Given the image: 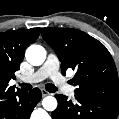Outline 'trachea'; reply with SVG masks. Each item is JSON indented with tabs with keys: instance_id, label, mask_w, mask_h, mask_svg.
<instances>
[{
	"instance_id": "1",
	"label": "trachea",
	"mask_w": 119,
	"mask_h": 119,
	"mask_svg": "<svg viewBox=\"0 0 119 119\" xmlns=\"http://www.w3.org/2000/svg\"><path fill=\"white\" fill-rule=\"evenodd\" d=\"M21 88L25 91H29L32 89V85L31 84H27V83H22L20 84ZM45 88L48 92L54 93L57 91V87L54 84L48 83L45 85Z\"/></svg>"
}]
</instances>
